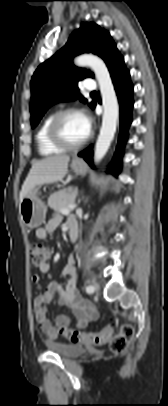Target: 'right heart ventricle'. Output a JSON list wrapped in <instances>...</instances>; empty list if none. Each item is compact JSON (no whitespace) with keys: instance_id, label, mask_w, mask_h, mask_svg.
Here are the masks:
<instances>
[{"instance_id":"right-heart-ventricle-1","label":"right heart ventricle","mask_w":168,"mask_h":406,"mask_svg":"<svg viewBox=\"0 0 168 406\" xmlns=\"http://www.w3.org/2000/svg\"><path fill=\"white\" fill-rule=\"evenodd\" d=\"M53 115L54 114H49L46 116L36 132L38 150L43 156H52L63 151V148L54 145L48 138V127Z\"/></svg>"}]
</instances>
